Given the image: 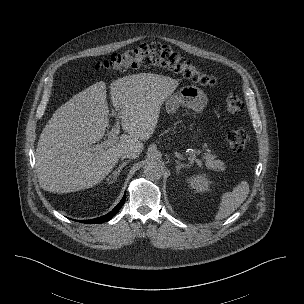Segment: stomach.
<instances>
[{
	"label": "stomach",
	"mask_w": 304,
	"mask_h": 304,
	"mask_svg": "<svg viewBox=\"0 0 304 304\" xmlns=\"http://www.w3.org/2000/svg\"><path fill=\"white\" fill-rule=\"evenodd\" d=\"M206 104L207 96L204 91L193 85L180 88L165 100L166 112L169 114L177 112L181 105L196 112H201Z\"/></svg>",
	"instance_id": "obj_1"
}]
</instances>
